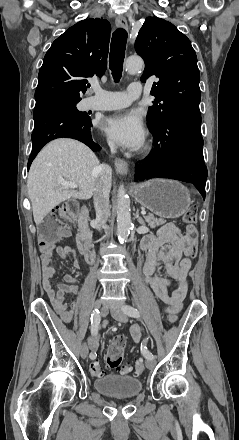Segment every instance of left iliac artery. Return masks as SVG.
<instances>
[{"mask_svg": "<svg viewBox=\"0 0 239 440\" xmlns=\"http://www.w3.org/2000/svg\"><path fill=\"white\" fill-rule=\"evenodd\" d=\"M122 310L126 315L130 317L138 318L140 316L139 311L136 308L129 305L123 306ZM147 340L148 338L143 340V342L141 343V353L146 359H154L155 356L146 347Z\"/></svg>", "mask_w": 239, "mask_h": 440, "instance_id": "44dca946", "label": "left iliac artery"}]
</instances>
